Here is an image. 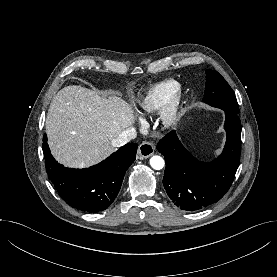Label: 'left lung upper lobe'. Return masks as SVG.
I'll use <instances>...</instances> for the list:
<instances>
[{
	"label": "left lung upper lobe",
	"mask_w": 277,
	"mask_h": 277,
	"mask_svg": "<svg viewBox=\"0 0 277 277\" xmlns=\"http://www.w3.org/2000/svg\"><path fill=\"white\" fill-rule=\"evenodd\" d=\"M206 75L203 101L213 107L239 113L235 95L225 79L214 70H206Z\"/></svg>",
	"instance_id": "5c2ea615"
}]
</instances>
